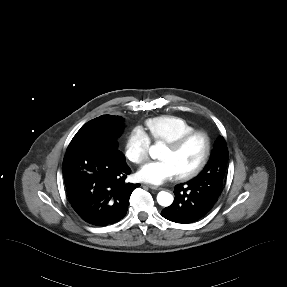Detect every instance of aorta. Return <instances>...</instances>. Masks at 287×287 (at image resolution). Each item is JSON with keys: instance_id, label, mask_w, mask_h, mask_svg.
<instances>
[{"instance_id": "obj_1", "label": "aorta", "mask_w": 287, "mask_h": 287, "mask_svg": "<svg viewBox=\"0 0 287 287\" xmlns=\"http://www.w3.org/2000/svg\"><path fill=\"white\" fill-rule=\"evenodd\" d=\"M164 145L160 142L156 143L155 145H152L149 149V154L151 158L156 159L159 157V154L161 150H163ZM157 202L159 205L163 207H168L173 202V196L169 192L166 191H160L157 195Z\"/></svg>"}]
</instances>
